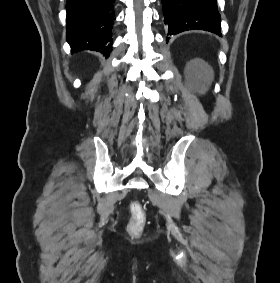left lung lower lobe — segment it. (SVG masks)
<instances>
[{"instance_id":"obj_1","label":"left lung lower lobe","mask_w":280,"mask_h":283,"mask_svg":"<svg viewBox=\"0 0 280 283\" xmlns=\"http://www.w3.org/2000/svg\"><path fill=\"white\" fill-rule=\"evenodd\" d=\"M162 7L169 35L198 29L222 36L216 0H162Z\"/></svg>"}]
</instances>
